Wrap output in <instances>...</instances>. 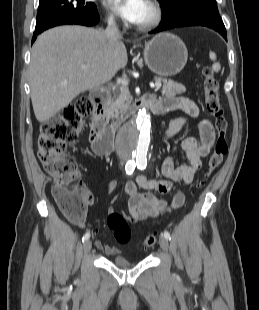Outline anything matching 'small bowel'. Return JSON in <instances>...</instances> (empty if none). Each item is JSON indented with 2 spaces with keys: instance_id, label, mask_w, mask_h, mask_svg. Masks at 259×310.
<instances>
[{
  "instance_id": "c3829d8e",
  "label": "small bowel",
  "mask_w": 259,
  "mask_h": 310,
  "mask_svg": "<svg viewBox=\"0 0 259 310\" xmlns=\"http://www.w3.org/2000/svg\"><path fill=\"white\" fill-rule=\"evenodd\" d=\"M160 105L165 111L181 110L191 118H196L199 115L198 105L184 97H166L159 100ZM186 123L185 118H179L166 128L164 133V141H168L172 136L181 130ZM199 141L189 137L182 141L181 147L188 159V164L175 165L172 152L174 147H171L170 153L164 159L162 171L164 178L162 179H147L144 176H137L134 181H128L125 184V193L128 196L129 213L125 215L130 222H140L150 219H157L164 214L179 209L185 202L183 193L174 195L172 201L167 203L165 200L157 198L155 195L167 194L172 189L176 182H182L185 185H190L194 181L195 174L201 169L202 162L209 154L215 140V130L213 125L208 120H203L199 124ZM116 188V182L110 181L106 185L108 193H112ZM139 189L144 190L140 192ZM93 203V196L90 194L89 203ZM114 211L113 208L109 212ZM83 218L76 224L78 226L85 225ZM93 236L98 234V230L92 231ZM97 249L105 252L107 255H117L120 250L116 246L108 245L97 239L95 241Z\"/></svg>"
}]
</instances>
